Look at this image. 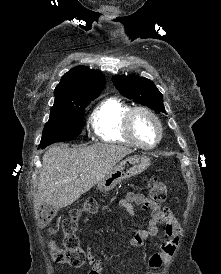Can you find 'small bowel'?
Wrapping results in <instances>:
<instances>
[{"label": "small bowel", "mask_w": 221, "mask_h": 274, "mask_svg": "<svg viewBox=\"0 0 221 274\" xmlns=\"http://www.w3.org/2000/svg\"><path fill=\"white\" fill-rule=\"evenodd\" d=\"M130 215H135L133 204H138L143 210L149 212L147 227L138 229L132 235L130 244L134 247H141L148 239L157 237L159 234V224H164V237L148 260V270L146 274H154L153 270L159 268L164 262H167L175 253L178 244L180 227L173 213L168 208H161L158 203L146 198L141 193H129L119 202ZM88 262L92 269L88 274H105L104 268L99 260L88 251Z\"/></svg>", "instance_id": "small-bowel-1"}]
</instances>
